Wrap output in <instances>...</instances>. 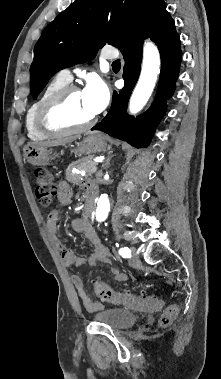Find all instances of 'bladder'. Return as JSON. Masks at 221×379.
I'll return each instance as SVG.
<instances>
[{"instance_id": "bladder-1", "label": "bladder", "mask_w": 221, "mask_h": 379, "mask_svg": "<svg viewBox=\"0 0 221 379\" xmlns=\"http://www.w3.org/2000/svg\"><path fill=\"white\" fill-rule=\"evenodd\" d=\"M94 320L109 325L114 329H127L133 326L137 320L136 315L124 308L103 309L93 316Z\"/></svg>"}]
</instances>
